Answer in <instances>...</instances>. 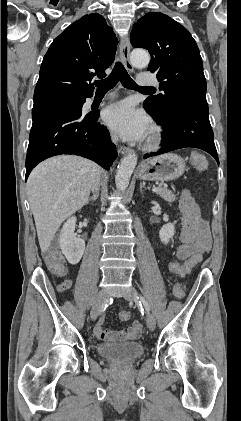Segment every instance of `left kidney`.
Here are the masks:
<instances>
[{
  "label": "left kidney",
  "mask_w": 241,
  "mask_h": 421,
  "mask_svg": "<svg viewBox=\"0 0 241 421\" xmlns=\"http://www.w3.org/2000/svg\"><path fill=\"white\" fill-rule=\"evenodd\" d=\"M174 234H175V227L171 223L163 225L159 231V237L161 241L165 244L169 242V240L174 236Z\"/></svg>",
  "instance_id": "left-kidney-1"
}]
</instances>
